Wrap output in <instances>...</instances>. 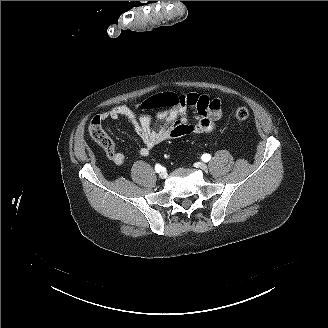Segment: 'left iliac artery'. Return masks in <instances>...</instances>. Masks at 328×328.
<instances>
[{"instance_id": "44dca946", "label": "left iliac artery", "mask_w": 328, "mask_h": 328, "mask_svg": "<svg viewBox=\"0 0 328 328\" xmlns=\"http://www.w3.org/2000/svg\"><path fill=\"white\" fill-rule=\"evenodd\" d=\"M201 159L204 161V162H208L210 159H211V155L210 154H203Z\"/></svg>"}]
</instances>
